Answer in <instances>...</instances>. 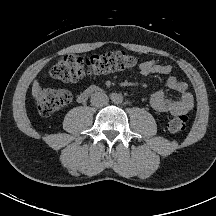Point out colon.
Masks as SVG:
<instances>
[{
	"mask_svg": "<svg viewBox=\"0 0 216 216\" xmlns=\"http://www.w3.org/2000/svg\"><path fill=\"white\" fill-rule=\"evenodd\" d=\"M139 58L123 51H112L102 55L80 56L67 54L61 57L50 70L54 79L73 82L87 76L115 70L131 69L139 64ZM73 95L68 90L41 88L37 93L38 110L41 115L49 116L72 102ZM188 117L178 115L170 120L168 128L179 132L186 128Z\"/></svg>",
	"mask_w": 216,
	"mask_h": 216,
	"instance_id": "obj_1",
	"label": "colon"
}]
</instances>
